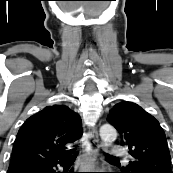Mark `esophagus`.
Here are the masks:
<instances>
[{"label": "esophagus", "mask_w": 173, "mask_h": 173, "mask_svg": "<svg viewBox=\"0 0 173 173\" xmlns=\"http://www.w3.org/2000/svg\"><path fill=\"white\" fill-rule=\"evenodd\" d=\"M84 136L86 142L83 145L84 153V165L90 170V172H95V167L97 163V157L99 154V136L96 127L83 126Z\"/></svg>", "instance_id": "1"}]
</instances>
